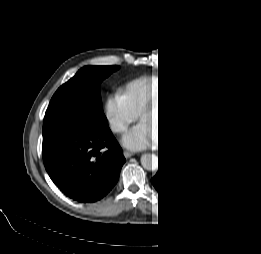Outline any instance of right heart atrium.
Listing matches in <instances>:
<instances>
[{
  "instance_id": "obj_1",
  "label": "right heart atrium",
  "mask_w": 261,
  "mask_h": 254,
  "mask_svg": "<svg viewBox=\"0 0 261 254\" xmlns=\"http://www.w3.org/2000/svg\"><path fill=\"white\" fill-rule=\"evenodd\" d=\"M106 116L113 132L121 133L137 118L125 94L112 96L106 106Z\"/></svg>"
}]
</instances>
